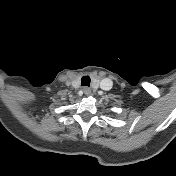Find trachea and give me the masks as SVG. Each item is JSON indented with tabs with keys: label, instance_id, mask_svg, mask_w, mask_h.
I'll return each instance as SVG.
<instances>
[{
	"label": "trachea",
	"instance_id": "1",
	"mask_svg": "<svg viewBox=\"0 0 176 176\" xmlns=\"http://www.w3.org/2000/svg\"><path fill=\"white\" fill-rule=\"evenodd\" d=\"M90 77L89 76H83L81 79V85L82 86H90Z\"/></svg>",
	"mask_w": 176,
	"mask_h": 176
}]
</instances>
